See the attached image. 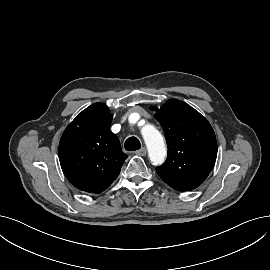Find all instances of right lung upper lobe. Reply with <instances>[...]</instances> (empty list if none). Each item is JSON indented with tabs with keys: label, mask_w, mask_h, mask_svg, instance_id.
<instances>
[{
	"label": "right lung upper lobe",
	"mask_w": 270,
	"mask_h": 270,
	"mask_svg": "<svg viewBox=\"0 0 270 270\" xmlns=\"http://www.w3.org/2000/svg\"><path fill=\"white\" fill-rule=\"evenodd\" d=\"M112 115L104 103H95L68 125L59 142L64 175L76 188L101 193L117 178L127 155L111 132Z\"/></svg>",
	"instance_id": "right-lung-upper-lobe-1"
}]
</instances>
